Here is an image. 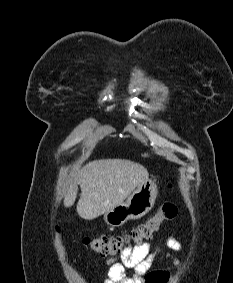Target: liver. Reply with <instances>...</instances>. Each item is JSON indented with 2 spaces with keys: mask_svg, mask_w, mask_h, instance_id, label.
<instances>
[{
  "mask_svg": "<svg viewBox=\"0 0 233 283\" xmlns=\"http://www.w3.org/2000/svg\"><path fill=\"white\" fill-rule=\"evenodd\" d=\"M64 196V206L71 207L81 188L78 215L93 220L124 202L148 178L145 167L126 159H101L89 162L73 174Z\"/></svg>",
  "mask_w": 233,
  "mask_h": 283,
  "instance_id": "liver-1",
  "label": "liver"
}]
</instances>
